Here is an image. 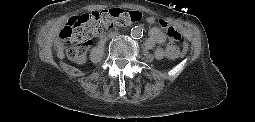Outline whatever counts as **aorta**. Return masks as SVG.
Instances as JSON below:
<instances>
[{"mask_svg": "<svg viewBox=\"0 0 255 122\" xmlns=\"http://www.w3.org/2000/svg\"><path fill=\"white\" fill-rule=\"evenodd\" d=\"M131 36L133 38H141L143 36V29L140 26H135L131 29Z\"/></svg>", "mask_w": 255, "mask_h": 122, "instance_id": "1", "label": "aorta"}]
</instances>
